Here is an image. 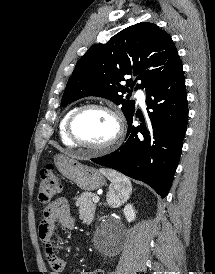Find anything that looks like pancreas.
Here are the masks:
<instances>
[{"label": "pancreas", "instance_id": "pancreas-1", "mask_svg": "<svg viewBox=\"0 0 215 274\" xmlns=\"http://www.w3.org/2000/svg\"><path fill=\"white\" fill-rule=\"evenodd\" d=\"M92 199L93 194L90 192H84L76 198V206L79 207L80 216L86 223H90L94 217L96 204Z\"/></svg>", "mask_w": 215, "mask_h": 274}]
</instances>
